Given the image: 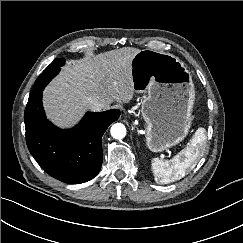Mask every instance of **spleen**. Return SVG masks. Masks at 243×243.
<instances>
[{"mask_svg": "<svg viewBox=\"0 0 243 243\" xmlns=\"http://www.w3.org/2000/svg\"><path fill=\"white\" fill-rule=\"evenodd\" d=\"M206 140V130L198 128L187 147L170 160L153 158L152 170L155 181L168 184L183 178L202 157V147Z\"/></svg>", "mask_w": 243, "mask_h": 243, "instance_id": "3e777b00", "label": "spleen"}]
</instances>
